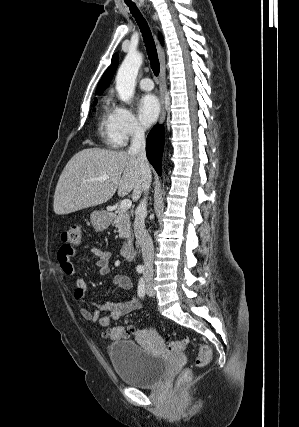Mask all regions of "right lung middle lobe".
<instances>
[{
	"mask_svg": "<svg viewBox=\"0 0 299 427\" xmlns=\"http://www.w3.org/2000/svg\"><path fill=\"white\" fill-rule=\"evenodd\" d=\"M97 103V99L94 100V105Z\"/></svg>",
	"mask_w": 299,
	"mask_h": 427,
	"instance_id": "obj_1",
	"label": "right lung middle lobe"
}]
</instances>
